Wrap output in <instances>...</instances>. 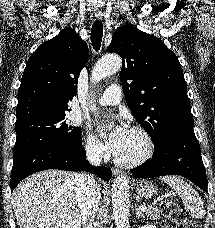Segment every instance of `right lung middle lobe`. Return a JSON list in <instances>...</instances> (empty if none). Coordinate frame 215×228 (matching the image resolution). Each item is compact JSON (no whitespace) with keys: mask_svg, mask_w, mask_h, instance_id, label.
Listing matches in <instances>:
<instances>
[{"mask_svg":"<svg viewBox=\"0 0 215 228\" xmlns=\"http://www.w3.org/2000/svg\"><path fill=\"white\" fill-rule=\"evenodd\" d=\"M14 154L44 143L82 146L81 130L68 124L67 114L46 115L17 122Z\"/></svg>","mask_w":215,"mask_h":228,"instance_id":"obj_1","label":"right lung middle lobe"}]
</instances>
